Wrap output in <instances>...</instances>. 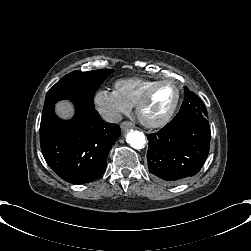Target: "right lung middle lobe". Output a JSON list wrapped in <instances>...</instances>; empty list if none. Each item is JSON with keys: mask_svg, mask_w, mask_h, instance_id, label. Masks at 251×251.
Here are the masks:
<instances>
[{"mask_svg": "<svg viewBox=\"0 0 251 251\" xmlns=\"http://www.w3.org/2000/svg\"><path fill=\"white\" fill-rule=\"evenodd\" d=\"M113 71V69L73 71L65 75L47 92L42 113L52 109L54 104L62 99L94 106L93 98L96 90Z\"/></svg>", "mask_w": 251, "mask_h": 251, "instance_id": "obj_1", "label": "right lung middle lobe"}]
</instances>
